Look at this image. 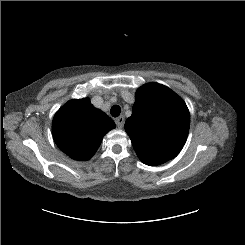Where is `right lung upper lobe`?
<instances>
[{
    "label": "right lung upper lobe",
    "instance_id": "cb5924a9",
    "mask_svg": "<svg viewBox=\"0 0 245 245\" xmlns=\"http://www.w3.org/2000/svg\"><path fill=\"white\" fill-rule=\"evenodd\" d=\"M116 127L104 112L94 108L88 98L71 100L62 106L52 123L57 146L75 160H89L102 138Z\"/></svg>",
    "mask_w": 245,
    "mask_h": 245
}]
</instances>
